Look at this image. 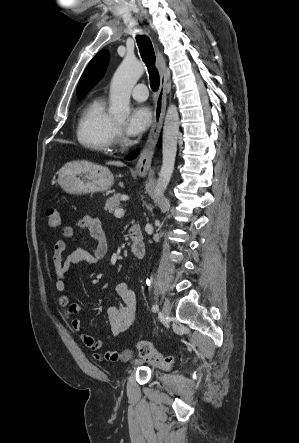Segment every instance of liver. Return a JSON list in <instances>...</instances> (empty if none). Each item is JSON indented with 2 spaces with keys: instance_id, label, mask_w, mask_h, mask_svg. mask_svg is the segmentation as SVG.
<instances>
[{
  "instance_id": "6515ba94",
  "label": "liver",
  "mask_w": 299,
  "mask_h": 443,
  "mask_svg": "<svg viewBox=\"0 0 299 443\" xmlns=\"http://www.w3.org/2000/svg\"><path fill=\"white\" fill-rule=\"evenodd\" d=\"M109 165H115V166H123V163L120 161H110L108 162Z\"/></svg>"
}]
</instances>
